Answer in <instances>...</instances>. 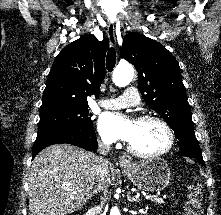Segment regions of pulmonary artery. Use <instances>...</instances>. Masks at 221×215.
I'll return each instance as SVG.
<instances>
[{"mask_svg":"<svg viewBox=\"0 0 221 215\" xmlns=\"http://www.w3.org/2000/svg\"><path fill=\"white\" fill-rule=\"evenodd\" d=\"M139 100L137 89L128 87L119 97L103 100L99 104L107 109H120L135 106L139 103Z\"/></svg>","mask_w":221,"mask_h":215,"instance_id":"obj_1","label":"pulmonary artery"}]
</instances>
